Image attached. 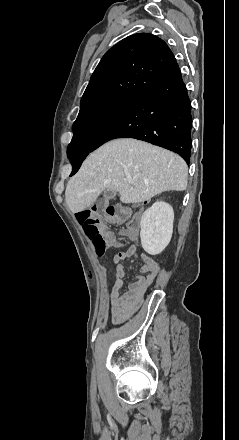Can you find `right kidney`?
Returning a JSON list of instances; mask_svg holds the SVG:
<instances>
[{"mask_svg": "<svg viewBox=\"0 0 239 440\" xmlns=\"http://www.w3.org/2000/svg\"><path fill=\"white\" fill-rule=\"evenodd\" d=\"M174 212L166 202H155L144 212L140 226V238L149 256L162 253L173 234Z\"/></svg>", "mask_w": 239, "mask_h": 440, "instance_id": "1", "label": "right kidney"}]
</instances>
